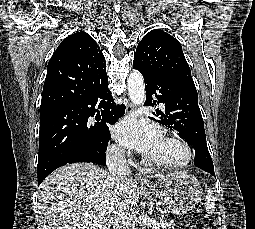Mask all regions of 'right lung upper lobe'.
<instances>
[{
    "instance_id": "obj_1",
    "label": "right lung upper lobe",
    "mask_w": 255,
    "mask_h": 229,
    "mask_svg": "<svg viewBox=\"0 0 255 229\" xmlns=\"http://www.w3.org/2000/svg\"><path fill=\"white\" fill-rule=\"evenodd\" d=\"M47 69L40 111L84 97L106 73V63L95 40L85 32H77L61 42Z\"/></svg>"
}]
</instances>
